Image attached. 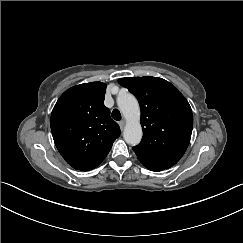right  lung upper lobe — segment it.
<instances>
[{"instance_id": "1", "label": "right lung upper lobe", "mask_w": 243, "mask_h": 243, "mask_svg": "<svg viewBox=\"0 0 243 243\" xmlns=\"http://www.w3.org/2000/svg\"><path fill=\"white\" fill-rule=\"evenodd\" d=\"M106 84L84 83L66 90L51 114V131L55 145L76 170L97 167L120 135L119 125L104 106Z\"/></svg>"}]
</instances>
